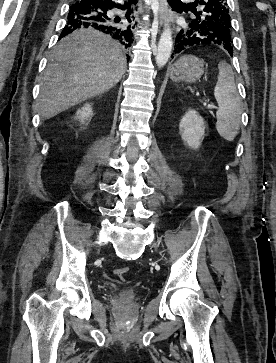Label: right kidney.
Listing matches in <instances>:
<instances>
[{
  "label": "right kidney",
  "mask_w": 276,
  "mask_h": 363,
  "mask_svg": "<svg viewBox=\"0 0 276 363\" xmlns=\"http://www.w3.org/2000/svg\"><path fill=\"white\" fill-rule=\"evenodd\" d=\"M93 115V110L90 104L84 105L81 109H79L76 113V119L83 124H85V120H88Z\"/></svg>",
  "instance_id": "1"
}]
</instances>
